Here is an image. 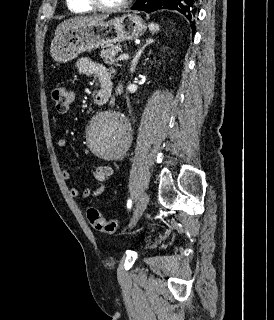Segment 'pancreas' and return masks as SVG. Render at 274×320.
<instances>
[{"instance_id": "obj_1", "label": "pancreas", "mask_w": 274, "mask_h": 320, "mask_svg": "<svg viewBox=\"0 0 274 320\" xmlns=\"http://www.w3.org/2000/svg\"><path fill=\"white\" fill-rule=\"evenodd\" d=\"M120 52L119 46H111V48H106V50H101V58L106 62V64H114L117 62L116 56ZM114 66H120V64H114Z\"/></svg>"}]
</instances>
